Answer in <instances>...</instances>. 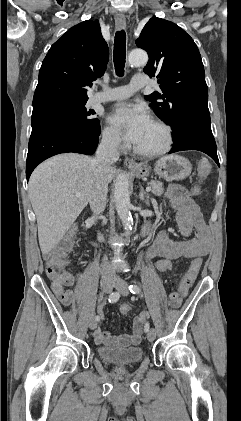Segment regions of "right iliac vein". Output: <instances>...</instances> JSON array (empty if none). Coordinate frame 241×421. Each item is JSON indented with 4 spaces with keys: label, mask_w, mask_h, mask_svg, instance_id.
Returning a JSON list of instances; mask_svg holds the SVG:
<instances>
[{
    "label": "right iliac vein",
    "mask_w": 241,
    "mask_h": 421,
    "mask_svg": "<svg viewBox=\"0 0 241 421\" xmlns=\"http://www.w3.org/2000/svg\"><path fill=\"white\" fill-rule=\"evenodd\" d=\"M101 287L104 293H110L112 291L113 288V281L110 279H105L103 280V282L101 283ZM97 326V321L92 318L89 321V328L91 330L95 329Z\"/></svg>",
    "instance_id": "63e3f726"
}]
</instances>
